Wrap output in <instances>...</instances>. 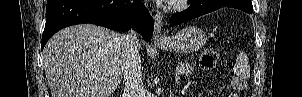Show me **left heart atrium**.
Listing matches in <instances>:
<instances>
[{
    "label": "left heart atrium",
    "instance_id": "obj_1",
    "mask_svg": "<svg viewBox=\"0 0 302 97\" xmlns=\"http://www.w3.org/2000/svg\"><path fill=\"white\" fill-rule=\"evenodd\" d=\"M163 2L168 3V4H176V3H179L180 0H164Z\"/></svg>",
    "mask_w": 302,
    "mask_h": 97
}]
</instances>
